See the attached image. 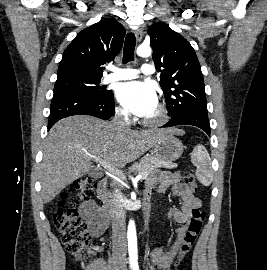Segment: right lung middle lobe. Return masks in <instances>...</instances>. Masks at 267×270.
I'll use <instances>...</instances> for the list:
<instances>
[{"mask_svg":"<svg viewBox=\"0 0 267 270\" xmlns=\"http://www.w3.org/2000/svg\"><path fill=\"white\" fill-rule=\"evenodd\" d=\"M101 78H91L80 75H67L57 78L54 95L69 94L89 98H105L112 94L99 86Z\"/></svg>","mask_w":267,"mask_h":270,"instance_id":"1","label":"right lung middle lobe"}]
</instances>
